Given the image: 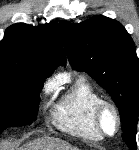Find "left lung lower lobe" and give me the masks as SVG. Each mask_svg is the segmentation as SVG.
<instances>
[{"instance_id":"left-lung-lower-lobe-1","label":"left lung lower lobe","mask_w":139,"mask_h":150,"mask_svg":"<svg viewBox=\"0 0 139 150\" xmlns=\"http://www.w3.org/2000/svg\"><path fill=\"white\" fill-rule=\"evenodd\" d=\"M136 149H137L136 144H134V145H132V146L129 147V150H136Z\"/></svg>"}]
</instances>
